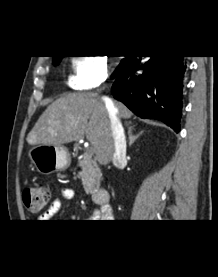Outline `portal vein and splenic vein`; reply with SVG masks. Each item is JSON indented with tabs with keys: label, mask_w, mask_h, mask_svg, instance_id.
I'll list each match as a JSON object with an SVG mask.
<instances>
[{
	"label": "portal vein and splenic vein",
	"mask_w": 218,
	"mask_h": 277,
	"mask_svg": "<svg viewBox=\"0 0 218 277\" xmlns=\"http://www.w3.org/2000/svg\"><path fill=\"white\" fill-rule=\"evenodd\" d=\"M86 153H87L88 156L91 157L94 153V149L92 147L88 146L87 149H86Z\"/></svg>",
	"instance_id": "1"
}]
</instances>
